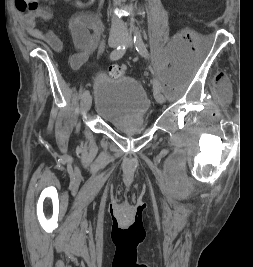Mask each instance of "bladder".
<instances>
[{
  "label": "bladder",
  "instance_id": "1",
  "mask_svg": "<svg viewBox=\"0 0 253 267\" xmlns=\"http://www.w3.org/2000/svg\"><path fill=\"white\" fill-rule=\"evenodd\" d=\"M94 91L96 113L109 122L141 119L150 107L145 89L130 77L102 75Z\"/></svg>",
  "mask_w": 253,
  "mask_h": 267
}]
</instances>
